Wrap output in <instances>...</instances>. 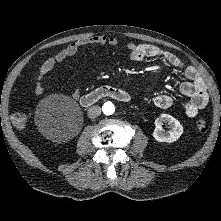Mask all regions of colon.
Wrapping results in <instances>:
<instances>
[{
    "mask_svg": "<svg viewBox=\"0 0 221 221\" xmlns=\"http://www.w3.org/2000/svg\"><path fill=\"white\" fill-rule=\"evenodd\" d=\"M12 122L18 129H23L27 123V116L24 113H16L12 117ZM195 126L200 133L207 131V124L204 120L196 121Z\"/></svg>",
    "mask_w": 221,
    "mask_h": 221,
    "instance_id": "1",
    "label": "colon"
}]
</instances>
